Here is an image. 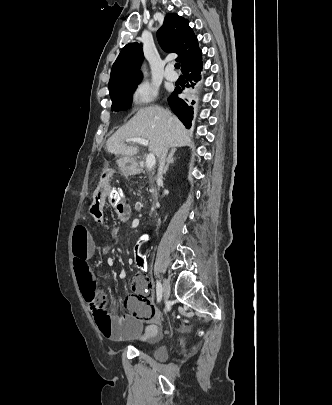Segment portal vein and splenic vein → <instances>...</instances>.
I'll use <instances>...</instances> for the list:
<instances>
[{"label": "portal vein and splenic vein", "mask_w": 332, "mask_h": 405, "mask_svg": "<svg viewBox=\"0 0 332 405\" xmlns=\"http://www.w3.org/2000/svg\"><path fill=\"white\" fill-rule=\"evenodd\" d=\"M126 142H133V143L141 144L143 146H148V144H149V141L147 139L135 138V137L126 139ZM155 162H156L155 155L152 153L148 154L147 158H146V166L149 170H151L154 167Z\"/></svg>", "instance_id": "portal-vein-and-splenic-vein-1"}]
</instances>
